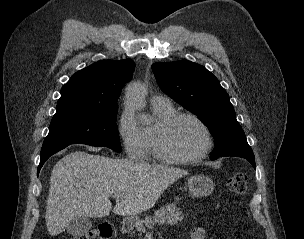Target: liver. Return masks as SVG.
I'll return each mask as SVG.
<instances>
[{
  "instance_id": "6515ba94",
  "label": "liver",
  "mask_w": 304,
  "mask_h": 239,
  "mask_svg": "<svg viewBox=\"0 0 304 239\" xmlns=\"http://www.w3.org/2000/svg\"><path fill=\"white\" fill-rule=\"evenodd\" d=\"M179 168L113 159L83 151L59 160L51 173L46 226L51 236L62 233L76 217L101 218L112 210L109 198L122 193L113 213L135 216L152 208L177 179Z\"/></svg>"
}]
</instances>
